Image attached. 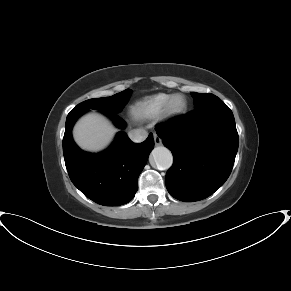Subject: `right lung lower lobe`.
Here are the masks:
<instances>
[{"instance_id": "98d812e1", "label": "right lung lower lobe", "mask_w": 291, "mask_h": 291, "mask_svg": "<svg viewBox=\"0 0 291 291\" xmlns=\"http://www.w3.org/2000/svg\"><path fill=\"white\" fill-rule=\"evenodd\" d=\"M86 111L88 109H73L66 119L63 154L69 177L76 188L100 205L126 204L137 192L138 177L154 147L153 136L150 134L144 142L135 144L120 131L104 152H84L72 138V127ZM103 113L119 128L125 127V122L117 114Z\"/></svg>"}]
</instances>
